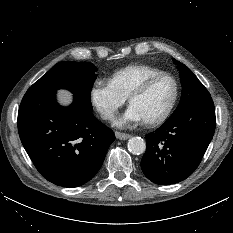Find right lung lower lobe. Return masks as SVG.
<instances>
[{
    "label": "right lung lower lobe",
    "mask_w": 233,
    "mask_h": 233,
    "mask_svg": "<svg viewBox=\"0 0 233 233\" xmlns=\"http://www.w3.org/2000/svg\"><path fill=\"white\" fill-rule=\"evenodd\" d=\"M55 94L26 92L18 111L19 136L43 177L59 186L78 187L98 172L115 135L76 98L64 108Z\"/></svg>",
    "instance_id": "98d812e1"
}]
</instances>
